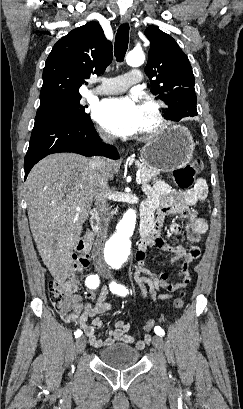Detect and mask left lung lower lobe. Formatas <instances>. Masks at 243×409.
<instances>
[{
	"instance_id": "obj_1",
	"label": "left lung lower lobe",
	"mask_w": 243,
	"mask_h": 409,
	"mask_svg": "<svg viewBox=\"0 0 243 409\" xmlns=\"http://www.w3.org/2000/svg\"><path fill=\"white\" fill-rule=\"evenodd\" d=\"M196 115H197V113H193V112H186V113L182 112V113L177 114L175 117H173V119H170V120L179 121V119H181L183 117H188V116L193 117V116H196Z\"/></svg>"
}]
</instances>
